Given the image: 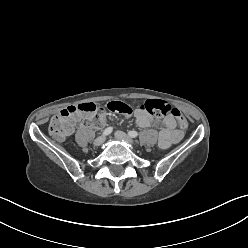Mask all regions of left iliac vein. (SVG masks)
Masks as SVG:
<instances>
[{"label": "left iliac vein", "instance_id": "4c4485c4", "mask_svg": "<svg viewBox=\"0 0 248 248\" xmlns=\"http://www.w3.org/2000/svg\"><path fill=\"white\" fill-rule=\"evenodd\" d=\"M115 138L120 140V141H125L129 144H133L134 141L132 138H130L127 134H125L124 132L122 131H116L115 132Z\"/></svg>", "mask_w": 248, "mask_h": 248}]
</instances>
